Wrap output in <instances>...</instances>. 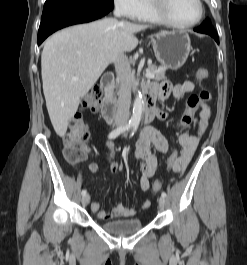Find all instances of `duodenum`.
<instances>
[{
	"label": "duodenum",
	"mask_w": 247,
	"mask_h": 265,
	"mask_svg": "<svg viewBox=\"0 0 247 265\" xmlns=\"http://www.w3.org/2000/svg\"><path fill=\"white\" fill-rule=\"evenodd\" d=\"M115 83V75L111 72H106L101 80V84L105 91V98L102 105V115L108 120L112 121L116 117L117 107L113 100V86ZM156 91L155 89H148L146 87L144 91V121L149 122L154 119L156 116Z\"/></svg>",
	"instance_id": "obj_1"
}]
</instances>
